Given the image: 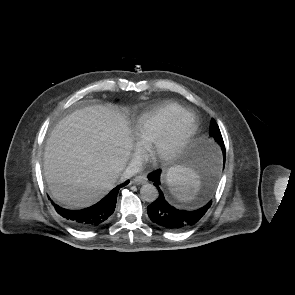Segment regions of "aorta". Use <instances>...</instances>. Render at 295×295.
Instances as JSON below:
<instances>
[{
    "instance_id": "obj_1",
    "label": "aorta",
    "mask_w": 295,
    "mask_h": 295,
    "mask_svg": "<svg viewBox=\"0 0 295 295\" xmlns=\"http://www.w3.org/2000/svg\"><path fill=\"white\" fill-rule=\"evenodd\" d=\"M140 195L144 201L152 203L158 198L159 193L153 184L146 183L141 187Z\"/></svg>"
}]
</instances>
